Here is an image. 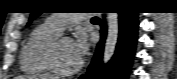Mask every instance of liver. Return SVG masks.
<instances>
[{"label": "liver", "mask_w": 177, "mask_h": 79, "mask_svg": "<svg viewBox=\"0 0 177 79\" xmlns=\"http://www.w3.org/2000/svg\"><path fill=\"white\" fill-rule=\"evenodd\" d=\"M28 79H55L54 76H32L27 77Z\"/></svg>", "instance_id": "1"}]
</instances>
